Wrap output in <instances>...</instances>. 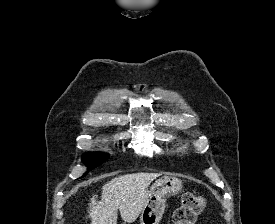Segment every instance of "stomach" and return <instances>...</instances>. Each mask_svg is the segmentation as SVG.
<instances>
[{
    "mask_svg": "<svg viewBox=\"0 0 275 224\" xmlns=\"http://www.w3.org/2000/svg\"><path fill=\"white\" fill-rule=\"evenodd\" d=\"M182 181L175 176H163L156 180L150 190L140 215V224H159L166 206V197L177 195Z\"/></svg>",
    "mask_w": 275,
    "mask_h": 224,
    "instance_id": "obj_1",
    "label": "stomach"
}]
</instances>
